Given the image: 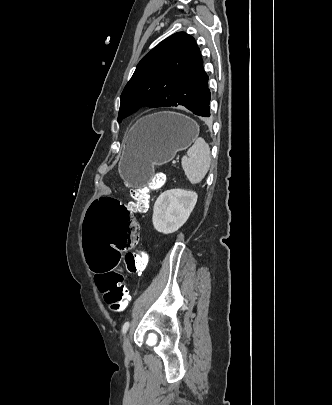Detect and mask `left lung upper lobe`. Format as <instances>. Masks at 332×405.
<instances>
[{"mask_svg":"<svg viewBox=\"0 0 332 405\" xmlns=\"http://www.w3.org/2000/svg\"><path fill=\"white\" fill-rule=\"evenodd\" d=\"M205 74L194 38L178 32L160 42L137 65L121 94L118 120L142 106L190 108Z\"/></svg>","mask_w":332,"mask_h":405,"instance_id":"5c2ea615","label":"left lung upper lobe"}]
</instances>
